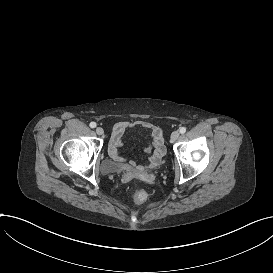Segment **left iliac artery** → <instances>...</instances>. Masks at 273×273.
<instances>
[{"instance_id":"left-iliac-artery-1","label":"left iliac artery","mask_w":273,"mask_h":273,"mask_svg":"<svg viewBox=\"0 0 273 273\" xmlns=\"http://www.w3.org/2000/svg\"><path fill=\"white\" fill-rule=\"evenodd\" d=\"M179 132L181 134H184L186 132V128L185 127H180Z\"/></svg>"}]
</instances>
